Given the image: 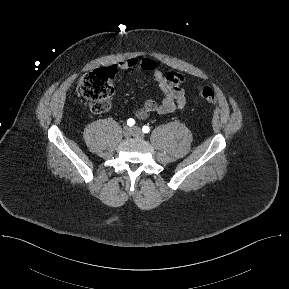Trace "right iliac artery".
Wrapping results in <instances>:
<instances>
[{
	"instance_id": "right-iliac-artery-1",
	"label": "right iliac artery",
	"mask_w": 289,
	"mask_h": 289,
	"mask_svg": "<svg viewBox=\"0 0 289 289\" xmlns=\"http://www.w3.org/2000/svg\"><path fill=\"white\" fill-rule=\"evenodd\" d=\"M134 124H135V120L133 118H130V119L127 120V125L129 127H132Z\"/></svg>"
}]
</instances>
